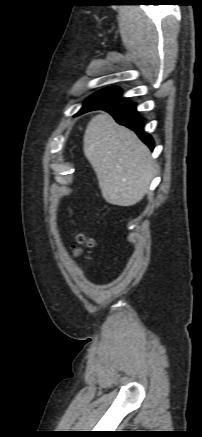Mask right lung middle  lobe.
Masks as SVG:
<instances>
[{
  "instance_id": "dd1d6c3e",
  "label": "right lung middle lobe",
  "mask_w": 202,
  "mask_h": 437,
  "mask_svg": "<svg viewBox=\"0 0 202 437\" xmlns=\"http://www.w3.org/2000/svg\"><path fill=\"white\" fill-rule=\"evenodd\" d=\"M121 96V91L118 88H110L106 90L98 91L93 94L88 101L84 103V106L80 110L78 114L97 110L98 108L105 105H114L117 104Z\"/></svg>"
}]
</instances>
